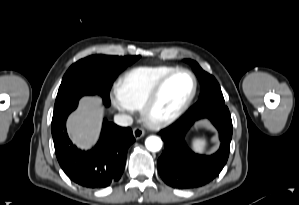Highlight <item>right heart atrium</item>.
<instances>
[{
    "instance_id": "d8ad5b80",
    "label": "right heart atrium",
    "mask_w": 299,
    "mask_h": 205,
    "mask_svg": "<svg viewBox=\"0 0 299 205\" xmlns=\"http://www.w3.org/2000/svg\"><path fill=\"white\" fill-rule=\"evenodd\" d=\"M110 102L112 106L120 111H128L130 108H128L121 100L117 90H113L111 95H110Z\"/></svg>"
}]
</instances>
